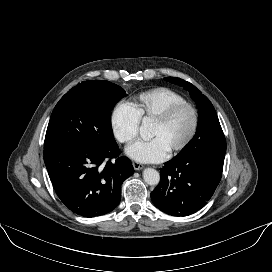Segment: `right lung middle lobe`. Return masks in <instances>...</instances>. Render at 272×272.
Masks as SVG:
<instances>
[{
    "label": "right lung middle lobe",
    "instance_id": "right-lung-middle-lobe-1",
    "mask_svg": "<svg viewBox=\"0 0 272 272\" xmlns=\"http://www.w3.org/2000/svg\"><path fill=\"white\" fill-rule=\"evenodd\" d=\"M125 95L120 86L102 80L84 81L70 89L52 112L44 155L71 143L99 147L113 143L110 114Z\"/></svg>",
    "mask_w": 272,
    "mask_h": 272
}]
</instances>
